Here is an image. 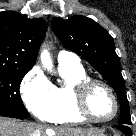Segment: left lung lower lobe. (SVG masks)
<instances>
[{"label":"left lung lower lobe","mask_w":136,"mask_h":136,"mask_svg":"<svg viewBox=\"0 0 136 136\" xmlns=\"http://www.w3.org/2000/svg\"><path fill=\"white\" fill-rule=\"evenodd\" d=\"M117 128L122 131L126 136H131V129L127 125L119 124Z\"/></svg>","instance_id":"1"}]
</instances>
